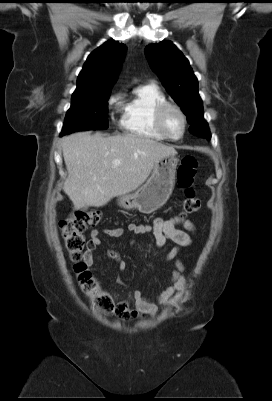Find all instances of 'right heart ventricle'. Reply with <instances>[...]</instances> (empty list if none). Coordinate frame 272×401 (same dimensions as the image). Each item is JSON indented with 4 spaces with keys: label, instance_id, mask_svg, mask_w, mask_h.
Returning <instances> with one entry per match:
<instances>
[{
    "label": "right heart ventricle",
    "instance_id": "1",
    "mask_svg": "<svg viewBox=\"0 0 272 401\" xmlns=\"http://www.w3.org/2000/svg\"><path fill=\"white\" fill-rule=\"evenodd\" d=\"M165 102V94L156 85L145 84L136 87L123 106L122 129L137 138L165 140L155 123L156 111Z\"/></svg>",
    "mask_w": 272,
    "mask_h": 401
}]
</instances>
